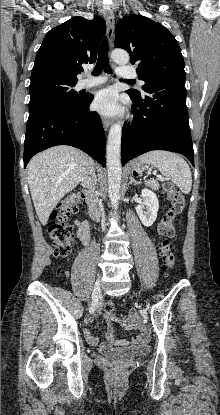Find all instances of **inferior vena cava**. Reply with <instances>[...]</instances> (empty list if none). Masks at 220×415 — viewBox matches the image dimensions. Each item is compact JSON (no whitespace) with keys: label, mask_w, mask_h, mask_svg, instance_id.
Returning <instances> with one entry per match:
<instances>
[{"label":"inferior vena cava","mask_w":220,"mask_h":415,"mask_svg":"<svg viewBox=\"0 0 220 415\" xmlns=\"http://www.w3.org/2000/svg\"><path fill=\"white\" fill-rule=\"evenodd\" d=\"M83 184L89 189V192L91 193L92 204L96 208H98L100 211H102L103 210L102 204L100 200L98 199L97 195L95 194L96 179H95V171H94L93 166L90 169L89 176L85 180H83Z\"/></svg>","instance_id":"obj_1"}]
</instances>
